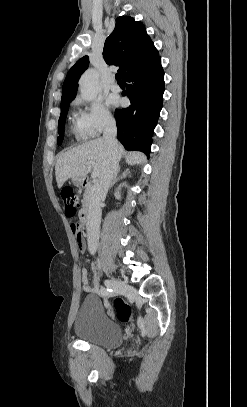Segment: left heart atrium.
<instances>
[{
  "mask_svg": "<svg viewBox=\"0 0 247 407\" xmlns=\"http://www.w3.org/2000/svg\"><path fill=\"white\" fill-rule=\"evenodd\" d=\"M110 103H111V104H116L117 101H116V100H111Z\"/></svg>",
  "mask_w": 247,
  "mask_h": 407,
  "instance_id": "39dd6f15",
  "label": "left heart atrium"
}]
</instances>
